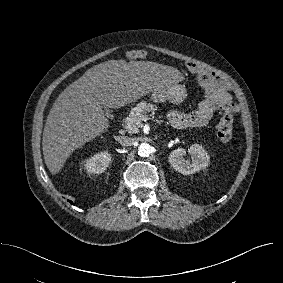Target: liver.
<instances>
[{"instance_id":"1","label":"liver","mask_w":283,"mask_h":283,"mask_svg":"<svg viewBox=\"0 0 283 283\" xmlns=\"http://www.w3.org/2000/svg\"><path fill=\"white\" fill-rule=\"evenodd\" d=\"M182 79L170 66L151 61L110 60L87 70L55 100L43 131L44 161L59 173L74 150L110 127L103 108L119 109Z\"/></svg>"}]
</instances>
